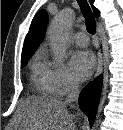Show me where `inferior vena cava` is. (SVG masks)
Instances as JSON below:
<instances>
[{
    "label": "inferior vena cava",
    "mask_w": 123,
    "mask_h": 130,
    "mask_svg": "<svg viewBox=\"0 0 123 130\" xmlns=\"http://www.w3.org/2000/svg\"><path fill=\"white\" fill-rule=\"evenodd\" d=\"M79 86L75 81H70L68 86L67 97L64 101L65 104L76 103L79 98Z\"/></svg>",
    "instance_id": "inferior-vena-cava-1"
}]
</instances>
